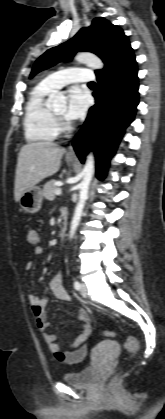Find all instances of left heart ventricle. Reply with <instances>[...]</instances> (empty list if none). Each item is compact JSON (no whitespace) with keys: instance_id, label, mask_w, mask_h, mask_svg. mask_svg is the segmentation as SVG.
Returning a JSON list of instances; mask_svg holds the SVG:
<instances>
[{"instance_id":"1","label":"left heart ventricle","mask_w":165,"mask_h":419,"mask_svg":"<svg viewBox=\"0 0 165 419\" xmlns=\"http://www.w3.org/2000/svg\"><path fill=\"white\" fill-rule=\"evenodd\" d=\"M55 112L59 115H63L65 112V107H61L55 110Z\"/></svg>"}]
</instances>
